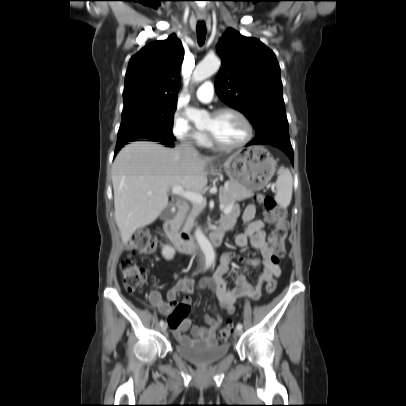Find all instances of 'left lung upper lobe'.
Masks as SVG:
<instances>
[{
	"instance_id": "1",
	"label": "left lung upper lobe",
	"mask_w": 406,
	"mask_h": 406,
	"mask_svg": "<svg viewBox=\"0 0 406 406\" xmlns=\"http://www.w3.org/2000/svg\"><path fill=\"white\" fill-rule=\"evenodd\" d=\"M217 52L222 60L215 80L217 95L246 115L256 138L290 141L280 67L273 51L260 40L229 28L220 38Z\"/></svg>"
}]
</instances>
